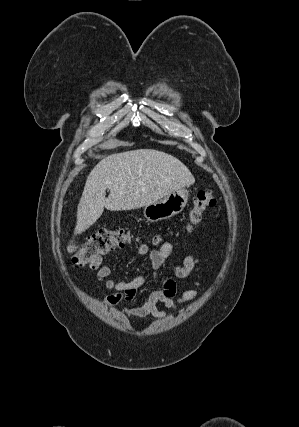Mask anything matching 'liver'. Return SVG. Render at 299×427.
I'll list each match as a JSON object with an SVG mask.
<instances>
[{
  "mask_svg": "<svg viewBox=\"0 0 299 427\" xmlns=\"http://www.w3.org/2000/svg\"><path fill=\"white\" fill-rule=\"evenodd\" d=\"M194 183L190 170L165 152L137 149L110 155L87 177L77 208L74 235L93 225L104 208L110 211L141 208ZM106 189L110 190L107 198ZM75 250L71 243L67 246L69 253Z\"/></svg>",
  "mask_w": 299,
  "mask_h": 427,
  "instance_id": "6515ba94",
  "label": "liver"
}]
</instances>
